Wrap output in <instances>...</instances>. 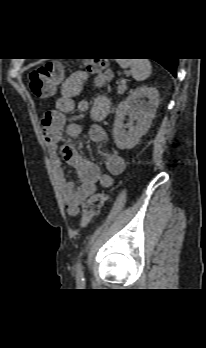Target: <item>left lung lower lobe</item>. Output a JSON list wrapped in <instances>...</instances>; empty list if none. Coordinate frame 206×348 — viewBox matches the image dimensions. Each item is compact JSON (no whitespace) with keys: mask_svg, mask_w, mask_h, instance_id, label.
Wrapping results in <instances>:
<instances>
[{"mask_svg":"<svg viewBox=\"0 0 206 348\" xmlns=\"http://www.w3.org/2000/svg\"><path fill=\"white\" fill-rule=\"evenodd\" d=\"M158 63H160L162 66H164L168 71L172 73L174 77H176V68L178 64V58H161V59H154Z\"/></svg>","mask_w":206,"mask_h":348,"instance_id":"0a47b994","label":"left lung lower lobe"}]
</instances>
